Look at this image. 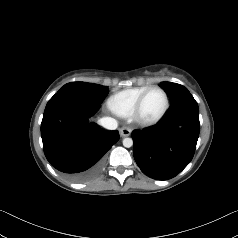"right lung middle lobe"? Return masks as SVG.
Listing matches in <instances>:
<instances>
[{"instance_id": "obj_1", "label": "right lung middle lobe", "mask_w": 238, "mask_h": 238, "mask_svg": "<svg viewBox=\"0 0 238 238\" xmlns=\"http://www.w3.org/2000/svg\"><path fill=\"white\" fill-rule=\"evenodd\" d=\"M74 91L92 100L102 102L108 94V87L87 82H70L58 92Z\"/></svg>"}]
</instances>
